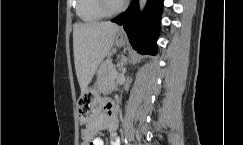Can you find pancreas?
Wrapping results in <instances>:
<instances>
[{
    "instance_id": "cf45deb5",
    "label": "pancreas",
    "mask_w": 243,
    "mask_h": 145,
    "mask_svg": "<svg viewBox=\"0 0 243 145\" xmlns=\"http://www.w3.org/2000/svg\"><path fill=\"white\" fill-rule=\"evenodd\" d=\"M100 77L108 82H113L116 78V71L110 62H105L100 69Z\"/></svg>"
}]
</instances>
